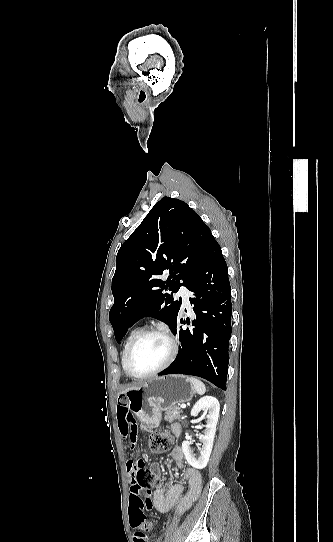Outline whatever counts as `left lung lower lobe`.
Masks as SVG:
<instances>
[{
	"instance_id": "obj_1",
	"label": "left lung lower lobe",
	"mask_w": 333,
	"mask_h": 542,
	"mask_svg": "<svg viewBox=\"0 0 333 542\" xmlns=\"http://www.w3.org/2000/svg\"><path fill=\"white\" fill-rule=\"evenodd\" d=\"M187 289L196 296L189 299L196 314L192 321L195 327L183 329V324H190L189 318L177 322L173 331L179 336L178 355L159 375L199 376L225 390L232 331L231 287L227 264L214 238Z\"/></svg>"
}]
</instances>
